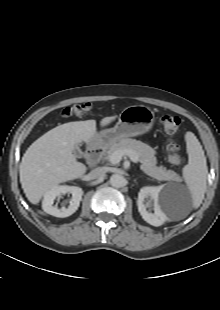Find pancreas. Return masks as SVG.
<instances>
[{"label": "pancreas", "instance_id": "obj_1", "mask_svg": "<svg viewBox=\"0 0 220 310\" xmlns=\"http://www.w3.org/2000/svg\"><path fill=\"white\" fill-rule=\"evenodd\" d=\"M118 150L134 152L142 163L140 169L159 181H176L178 179L176 172L167 170L163 166H156L155 150L141 141L130 138L122 139L108 148L105 158L109 160L112 153Z\"/></svg>", "mask_w": 220, "mask_h": 310}]
</instances>
